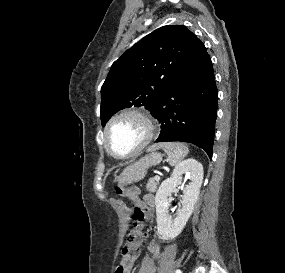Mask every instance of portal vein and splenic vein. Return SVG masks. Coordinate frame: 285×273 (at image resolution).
<instances>
[{
    "mask_svg": "<svg viewBox=\"0 0 285 273\" xmlns=\"http://www.w3.org/2000/svg\"><path fill=\"white\" fill-rule=\"evenodd\" d=\"M154 179H155V180H159V179H160V176H159V175H155Z\"/></svg>",
    "mask_w": 285,
    "mask_h": 273,
    "instance_id": "portal-vein-and-splenic-vein-1",
    "label": "portal vein and splenic vein"
}]
</instances>
